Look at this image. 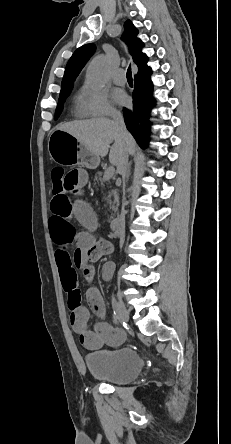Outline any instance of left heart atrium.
Instances as JSON below:
<instances>
[{
  "instance_id": "1",
  "label": "left heart atrium",
  "mask_w": 231,
  "mask_h": 444,
  "mask_svg": "<svg viewBox=\"0 0 231 444\" xmlns=\"http://www.w3.org/2000/svg\"><path fill=\"white\" fill-rule=\"evenodd\" d=\"M113 98H114L115 102L120 105H126L129 102V98L122 91H116L113 95Z\"/></svg>"
}]
</instances>
